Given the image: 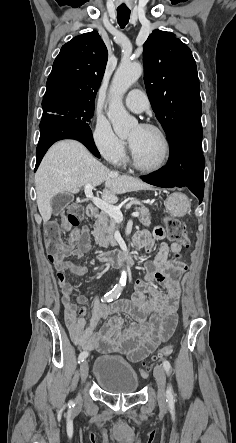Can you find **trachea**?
I'll list each match as a JSON object with an SVG mask.
<instances>
[{"mask_svg": "<svg viewBox=\"0 0 236 443\" xmlns=\"http://www.w3.org/2000/svg\"><path fill=\"white\" fill-rule=\"evenodd\" d=\"M129 18H130L129 9H122V8L117 9V20L121 28H124L126 26V24L129 21Z\"/></svg>", "mask_w": 236, "mask_h": 443, "instance_id": "trachea-1", "label": "trachea"}]
</instances>
